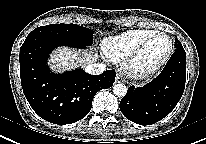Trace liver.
I'll list each match as a JSON object with an SVG mask.
<instances>
[{"mask_svg": "<svg viewBox=\"0 0 206 144\" xmlns=\"http://www.w3.org/2000/svg\"><path fill=\"white\" fill-rule=\"evenodd\" d=\"M97 59L96 55L90 52L78 53L67 47L59 48L50 57V66L52 70L63 72L79 65H87Z\"/></svg>", "mask_w": 206, "mask_h": 144, "instance_id": "obj_1", "label": "liver"}]
</instances>
